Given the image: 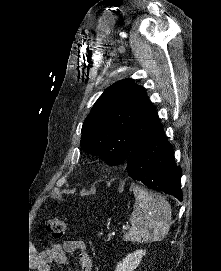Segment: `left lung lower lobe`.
I'll list each match as a JSON object with an SVG mask.
<instances>
[{
  "mask_svg": "<svg viewBox=\"0 0 221 271\" xmlns=\"http://www.w3.org/2000/svg\"><path fill=\"white\" fill-rule=\"evenodd\" d=\"M174 161L173 147L160 124L130 151L127 172L134 180L182 201L181 168Z\"/></svg>",
  "mask_w": 221,
  "mask_h": 271,
  "instance_id": "left-lung-lower-lobe-1",
  "label": "left lung lower lobe"
}]
</instances>
